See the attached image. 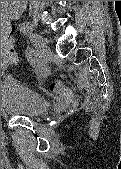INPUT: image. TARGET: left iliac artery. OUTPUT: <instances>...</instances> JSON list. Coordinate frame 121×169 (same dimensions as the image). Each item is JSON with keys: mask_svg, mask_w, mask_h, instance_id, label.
I'll list each match as a JSON object with an SVG mask.
<instances>
[{"mask_svg": "<svg viewBox=\"0 0 121 169\" xmlns=\"http://www.w3.org/2000/svg\"><path fill=\"white\" fill-rule=\"evenodd\" d=\"M32 25L30 22L23 23L20 35H31L32 34ZM25 54H27V58H29L30 64H32V68H36V72H43L44 63H41V59H38L36 53H34V49H25Z\"/></svg>", "mask_w": 121, "mask_h": 169, "instance_id": "obj_1", "label": "left iliac artery"}]
</instances>
